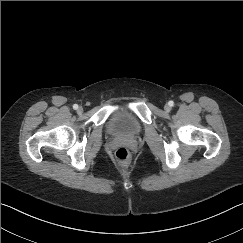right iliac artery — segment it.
I'll list each match as a JSON object with an SVG mask.
<instances>
[{
    "instance_id": "obj_1",
    "label": "right iliac artery",
    "mask_w": 243,
    "mask_h": 243,
    "mask_svg": "<svg viewBox=\"0 0 243 243\" xmlns=\"http://www.w3.org/2000/svg\"><path fill=\"white\" fill-rule=\"evenodd\" d=\"M73 108L76 110L78 108V105L77 104H74L73 105Z\"/></svg>"
}]
</instances>
